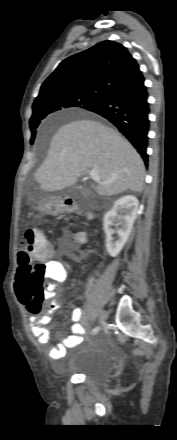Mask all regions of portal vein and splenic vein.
<instances>
[{"label": "portal vein and splenic vein", "mask_w": 177, "mask_h": 440, "mask_svg": "<svg viewBox=\"0 0 177 440\" xmlns=\"http://www.w3.org/2000/svg\"><path fill=\"white\" fill-rule=\"evenodd\" d=\"M89 175L95 181L100 182L99 173H98L97 169H91V171L89 172Z\"/></svg>", "instance_id": "1"}]
</instances>
